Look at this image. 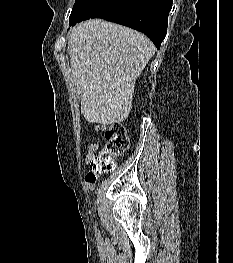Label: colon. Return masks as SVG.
<instances>
[{
	"label": "colon",
	"mask_w": 233,
	"mask_h": 263,
	"mask_svg": "<svg viewBox=\"0 0 233 263\" xmlns=\"http://www.w3.org/2000/svg\"><path fill=\"white\" fill-rule=\"evenodd\" d=\"M97 128L104 132L106 143L90 163V171L85 178L87 183H94L100 174L111 172L115 168L116 159L129 146V138L123 124L98 125Z\"/></svg>",
	"instance_id": "colon-1"
}]
</instances>
